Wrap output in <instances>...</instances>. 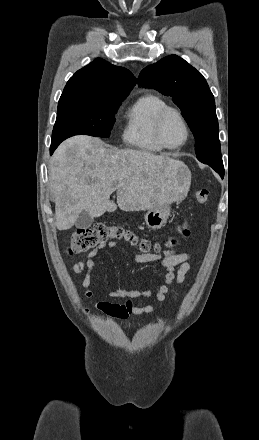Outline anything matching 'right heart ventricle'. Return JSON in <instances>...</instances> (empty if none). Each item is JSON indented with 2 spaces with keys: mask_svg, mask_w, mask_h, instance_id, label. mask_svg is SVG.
<instances>
[{
  "mask_svg": "<svg viewBox=\"0 0 259 440\" xmlns=\"http://www.w3.org/2000/svg\"><path fill=\"white\" fill-rule=\"evenodd\" d=\"M166 107L167 103L156 94L137 98L125 114L124 142L144 152H162L164 148L156 140L154 127L159 113Z\"/></svg>",
  "mask_w": 259,
  "mask_h": 440,
  "instance_id": "e07e8e85",
  "label": "right heart ventricle"
}]
</instances>
